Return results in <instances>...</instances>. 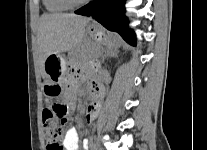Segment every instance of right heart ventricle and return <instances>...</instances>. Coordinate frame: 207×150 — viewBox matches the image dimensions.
<instances>
[{"mask_svg": "<svg viewBox=\"0 0 207 150\" xmlns=\"http://www.w3.org/2000/svg\"><path fill=\"white\" fill-rule=\"evenodd\" d=\"M43 5L51 13L65 12L70 8L62 0H43Z\"/></svg>", "mask_w": 207, "mask_h": 150, "instance_id": "1", "label": "right heart ventricle"}]
</instances>
